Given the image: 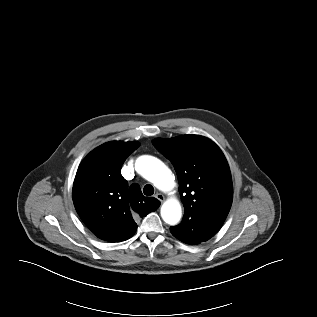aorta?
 Returning <instances> with one entry per match:
<instances>
[{
	"label": "aorta",
	"instance_id": "762f6f07",
	"mask_svg": "<svg viewBox=\"0 0 317 317\" xmlns=\"http://www.w3.org/2000/svg\"><path fill=\"white\" fill-rule=\"evenodd\" d=\"M139 174L154 183V185L164 191H170L175 186L174 176L170 169L157 157L143 155L136 161ZM182 216V209L179 201L174 198L166 200L161 207V217L165 223L176 225Z\"/></svg>",
	"mask_w": 317,
	"mask_h": 317
}]
</instances>
